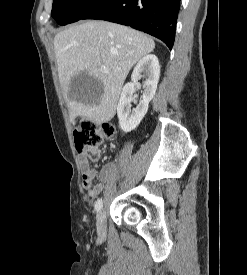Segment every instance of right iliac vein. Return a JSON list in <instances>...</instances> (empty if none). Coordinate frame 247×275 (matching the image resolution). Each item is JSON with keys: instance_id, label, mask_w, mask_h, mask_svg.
Listing matches in <instances>:
<instances>
[{"instance_id": "right-iliac-vein-1", "label": "right iliac vein", "mask_w": 247, "mask_h": 275, "mask_svg": "<svg viewBox=\"0 0 247 275\" xmlns=\"http://www.w3.org/2000/svg\"><path fill=\"white\" fill-rule=\"evenodd\" d=\"M96 226L99 236L104 237L106 234V213L104 209H101L97 214Z\"/></svg>"}]
</instances>
